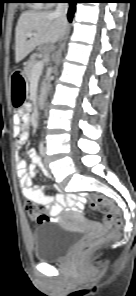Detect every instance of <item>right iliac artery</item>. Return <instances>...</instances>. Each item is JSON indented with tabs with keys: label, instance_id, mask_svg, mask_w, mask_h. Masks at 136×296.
Instances as JSON below:
<instances>
[{
	"label": "right iliac artery",
	"instance_id": "obj_1",
	"mask_svg": "<svg viewBox=\"0 0 136 296\" xmlns=\"http://www.w3.org/2000/svg\"><path fill=\"white\" fill-rule=\"evenodd\" d=\"M39 150H40V154L43 157L45 155V148H44L43 144H40Z\"/></svg>",
	"mask_w": 136,
	"mask_h": 296
}]
</instances>
